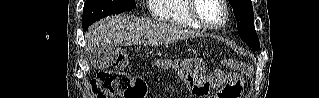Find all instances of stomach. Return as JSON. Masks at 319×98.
I'll list each match as a JSON object with an SVG mask.
<instances>
[{"label":"stomach","mask_w":319,"mask_h":98,"mask_svg":"<svg viewBox=\"0 0 319 98\" xmlns=\"http://www.w3.org/2000/svg\"><path fill=\"white\" fill-rule=\"evenodd\" d=\"M202 73L203 70L198 65H191L180 71V78L187 85L190 94L196 98L204 95L202 89H200L203 88L204 84L202 81Z\"/></svg>","instance_id":"obj_1"}]
</instances>
